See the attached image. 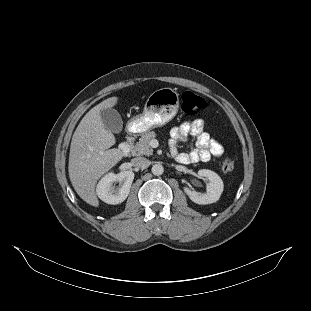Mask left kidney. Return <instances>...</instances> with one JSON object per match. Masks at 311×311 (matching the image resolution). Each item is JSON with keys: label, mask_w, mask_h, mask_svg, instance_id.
<instances>
[{"label": "left kidney", "mask_w": 311, "mask_h": 311, "mask_svg": "<svg viewBox=\"0 0 311 311\" xmlns=\"http://www.w3.org/2000/svg\"><path fill=\"white\" fill-rule=\"evenodd\" d=\"M198 175L208 178L210 183L207 185L206 192L204 193L195 190L190 191V199L197 204H210L216 202L224 190V182L222 178L210 169H200Z\"/></svg>", "instance_id": "left-kidney-1"}]
</instances>
